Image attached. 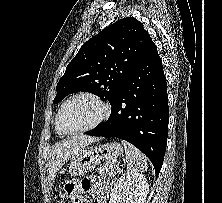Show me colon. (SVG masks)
<instances>
[{"label":"colon","instance_id":"5ec220e1","mask_svg":"<svg viewBox=\"0 0 222 203\" xmlns=\"http://www.w3.org/2000/svg\"><path fill=\"white\" fill-rule=\"evenodd\" d=\"M73 193H74L73 183L66 182L62 184L55 191V198H56L57 203H71V200H73L72 199Z\"/></svg>","mask_w":222,"mask_h":203}]
</instances>
